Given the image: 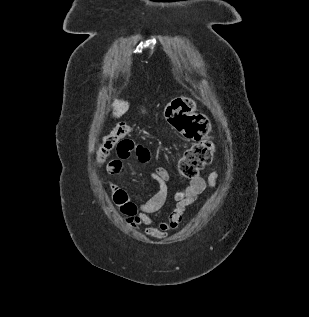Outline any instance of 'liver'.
Masks as SVG:
<instances>
[{"instance_id": "liver-1", "label": "liver", "mask_w": 309, "mask_h": 317, "mask_svg": "<svg viewBox=\"0 0 309 317\" xmlns=\"http://www.w3.org/2000/svg\"><path fill=\"white\" fill-rule=\"evenodd\" d=\"M129 109V103L123 100H115L113 103V116L121 117Z\"/></svg>"}]
</instances>
